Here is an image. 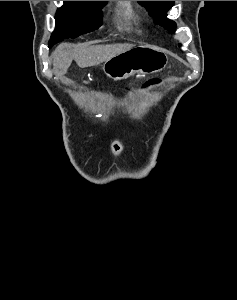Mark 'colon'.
<instances>
[{
  "label": "colon",
  "instance_id": "1",
  "mask_svg": "<svg viewBox=\"0 0 237 300\" xmlns=\"http://www.w3.org/2000/svg\"><path fill=\"white\" fill-rule=\"evenodd\" d=\"M159 82H160V80H158V79H152V80L146 82L145 85H144V87H149V86H152V85H157Z\"/></svg>",
  "mask_w": 237,
  "mask_h": 300
}]
</instances>
